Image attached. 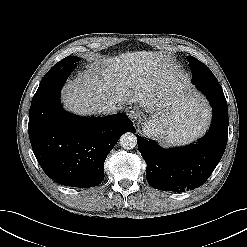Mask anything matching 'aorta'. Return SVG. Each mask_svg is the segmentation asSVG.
<instances>
[{
	"label": "aorta",
	"instance_id": "aorta-1",
	"mask_svg": "<svg viewBox=\"0 0 247 247\" xmlns=\"http://www.w3.org/2000/svg\"><path fill=\"white\" fill-rule=\"evenodd\" d=\"M120 145L124 149H133L137 146V137L131 132H127L120 137Z\"/></svg>",
	"mask_w": 247,
	"mask_h": 247
}]
</instances>
